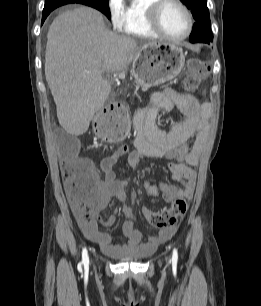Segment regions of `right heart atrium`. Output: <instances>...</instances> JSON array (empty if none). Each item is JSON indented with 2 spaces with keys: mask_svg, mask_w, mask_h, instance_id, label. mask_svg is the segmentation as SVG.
<instances>
[{
  "mask_svg": "<svg viewBox=\"0 0 261 306\" xmlns=\"http://www.w3.org/2000/svg\"><path fill=\"white\" fill-rule=\"evenodd\" d=\"M107 6L113 28L121 29L124 23L125 6L123 0H108Z\"/></svg>",
  "mask_w": 261,
  "mask_h": 306,
  "instance_id": "d8ad5b80",
  "label": "right heart atrium"
}]
</instances>
